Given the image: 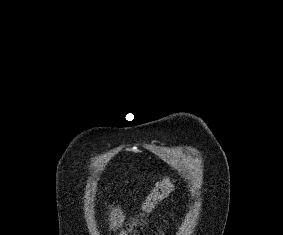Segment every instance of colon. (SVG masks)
Returning a JSON list of instances; mask_svg holds the SVG:
<instances>
[{
  "label": "colon",
  "instance_id": "obj_1",
  "mask_svg": "<svg viewBox=\"0 0 283 235\" xmlns=\"http://www.w3.org/2000/svg\"><path fill=\"white\" fill-rule=\"evenodd\" d=\"M174 187V179L166 177L156 183L149 195L143 200L142 208L144 211H150L164 198Z\"/></svg>",
  "mask_w": 283,
  "mask_h": 235
}]
</instances>
